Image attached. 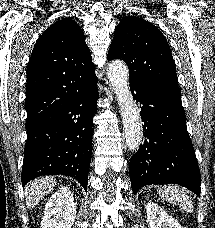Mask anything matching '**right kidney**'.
Returning <instances> with one entry per match:
<instances>
[{"label": "right kidney", "instance_id": "right-kidney-1", "mask_svg": "<svg viewBox=\"0 0 215 228\" xmlns=\"http://www.w3.org/2000/svg\"><path fill=\"white\" fill-rule=\"evenodd\" d=\"M76 218V204L70 188L62 186L49 198L40 228H72Z\"/></svg>", "mask_w": 215, "mask_h": 228}]
</instances>
